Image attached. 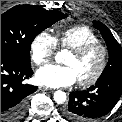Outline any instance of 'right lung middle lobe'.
Returning <instances> with one entry per match:
<instances>
[{
  "instance_id": "obj_1",
  "label": "right lung middle lobe",
  "mask_w": 122,
  "mask_h": 122,
  "mask_svg": "<svg viewBox=\"0 0 122 122\" xmlns=\"http://www.w3.org/2000/svg\"><path fill=\"white\" fill-rule=\"evenodd\" d=\"M57 10L18 5L1 15V52L30 64V46L34 38L55 22L66 18Z\"/></svg>"
}]
</instances>
